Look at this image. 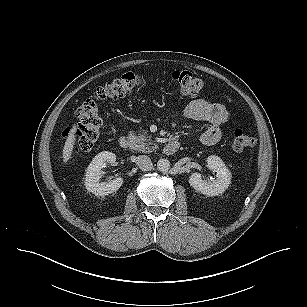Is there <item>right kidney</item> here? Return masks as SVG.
<instances>
[{
	"label": "right kidney",
	"mask_w": 307,
	"mask_h": 307,
	"mask_svg": "<svg viewBox=\"0 0 307 307\" xmlns=\"http://www.w3.org/2000/svg\"><path fill=\"white\" fill-rule=\"evenodd\" d=\"M116 161V155L112 152L103 151L97 154L89 164L86 171L85 187L86 189L99 196H105L116 192L123 184V178L117 177L109 182H100L104 175L102 168L107 163L113 164Z\"/></svg>",
	"instance_id": "right-kidney-1"
}]
</instances>
